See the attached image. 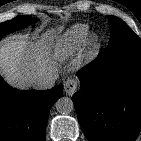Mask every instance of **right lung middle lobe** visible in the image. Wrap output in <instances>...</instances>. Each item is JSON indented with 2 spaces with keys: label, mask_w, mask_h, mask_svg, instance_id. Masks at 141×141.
Returning <instances> with one entry per match:
<instances>
[{
  "label": "right lung middle lobe",
  "mask_w": 141,
  "mask_h": 141,
  "mask_svg": "<svg viewBox=\"0 0 141 141\" xmlns=\"http://www.w3.org/2000/svg\"><path fill=\"white\" fill-rule=\"evenodd\" d=\"M31 16H19L10 21L0 23V39L9 32L17 31L34 22Z\"/></svg>",
  "instance_id": "right-lung-middle-lobe-1"
}]
</instances>
